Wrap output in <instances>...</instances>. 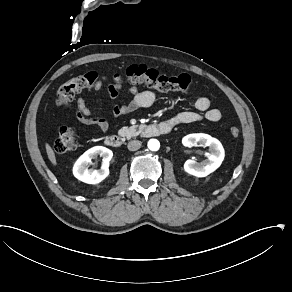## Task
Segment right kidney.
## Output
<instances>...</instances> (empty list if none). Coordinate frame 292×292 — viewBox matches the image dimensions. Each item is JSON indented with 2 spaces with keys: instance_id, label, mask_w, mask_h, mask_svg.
I'll list each match as a JSON object with an SVG mask.
<instances>
[{
  "instance_id": "ca27d5eb",
  "label": "right kidney",
  "mask_w": 292,
  "mask_h": 292,
  "mask_svg": "<svg viewBox=\"0 0 292 292\" xmlns=\"http://www.w3.org/2000/svg\"><path fill=\"white\" fill-rule=\"evenodd\" d=\"M102 157V165L98 170L88 169L92 159ZM113 157V152L103 146H95L81 155L73 166V175L89 184H97L109 175V162Z\"/></svg>"
}]
</instances>
